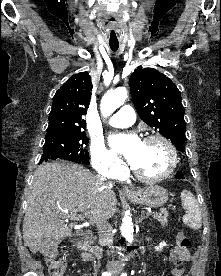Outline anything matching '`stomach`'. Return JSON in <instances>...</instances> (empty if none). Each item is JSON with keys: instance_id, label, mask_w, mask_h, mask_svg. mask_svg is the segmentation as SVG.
I'll return each instance as SVG.
<instances>
[{"instance_id": "0dacf381", "label": "stomach", "mask_w": 221, "mask_h": 276, "mask_svg": "<svg viewBox=\"0 0 221 276\" xmlns=\"http://www.w3.org/2000/svg\"><path fill=\"white\" fill-rule=\"evenodd\" d=\"M126 197L133 203L149 207H161L168 200V192L163 187L150 185L148 187L138 189L133 194L126 195Z\"/></svg>"}]
</instances>
